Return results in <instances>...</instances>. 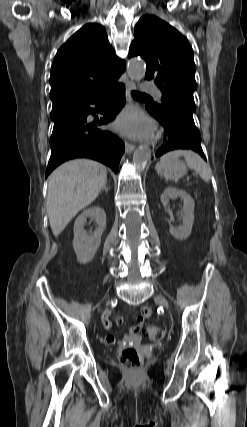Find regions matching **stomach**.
Instances as JSON below:
<instances>
[{
  "instance_id": "0dacf381",
  "label": "stomach",
  "mask_w": 247,
  "mask_h": 427,
  "mask_svg": "<svg viewBox=\"0 0 247 427\" xmlns=\"http://www.w3.org/2000/svg\"><path fill=\"white\" fill-rule=\"evenodd\" d=\"M157 172L166 179L177 180L186 174V166L178 158L156 167Z\"/></svg>"
}]
</instances>
